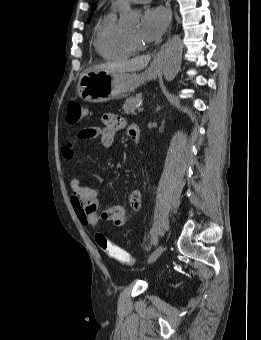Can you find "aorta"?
<instances>
[{
  "instance_id": "762f6f07",
  "label": "aorta",
  "mask_w": 261,
  "mask_h": 340,
  "mask_svg": "<svg viewBox=\"0 0 261 340\" xmlns=\"http://www.w3.org/2000/svg\"><path fill=\"white\" fill-rule=\"evenodd\" d=\"M120 19L124 25H133L139 21L138 13L126 5ZM183 53L180 35H174L167 44L164 54L163 75L166 81H172L179 72Z\"/></svg>"
}]
</instances>
